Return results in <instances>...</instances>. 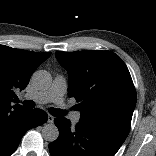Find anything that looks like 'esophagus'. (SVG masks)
<instances>
[{
	"label": "esophagus",
	"mask_w": 156,
	"mask_h": 156,
	"mask_svg": "<svg viewBox=\"0 0 156 156\" xmlns=\"http://www.w3.org/2000/svg\"><path fill=\"white\" fill-rule=\"evenodd\" d=\"M53 121H54V116L48 115V120H47V122H48V123H53Z\"/></svg>",
	"instance_id": "esophagus-1"
}]
</instances>
